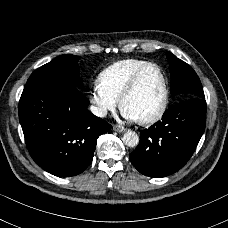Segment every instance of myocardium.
Here are the masks:
<instances>
[{"mask_svg": "<svg viewBox=\"0 0 228 228\" xmlns=\"http://www.w3.org/2000/svg\"><path fill=\"white\" fill-rule=\"evenodd\" d=\"M151 68L157 69L163 79L164 102H163L160 110L155 115H153L149 118H146V119L137 120V122L142 125H149V124H153V123L160 121L168 110L169 102H170V89H169L168 78H167V75H166L165 71L163 70V68L159 64L152 63V62L143 66L142 68H140L138 71H136V73L132 77L129 85L127 86V88L125 89V91L123 92V94L120 98V107L122 110H125V103H126L127 99L137 90L142 76L145 74L146 71H148Z\"/></svg>", "mask_w": 228, "mask_h": 228, "instance_id": "obj_1", "label": "myocardium"}]
</instances>
